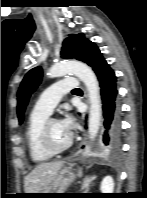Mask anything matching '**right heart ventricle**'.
<instances>
[{"mask_svg":"<svg viewBox=\"0 0 147 198\" xmlns=\"http://www.w3.org/2000/svg\"><path fill=\"white\" fill-rule=\"evenodd\" d=\"M49 114L33 110L29 116L25 140L31 160L35 163H43L51 159L53 155L45 151L41 143V131Z\"/></svg>","mask_w":147,"mask_h":198,"instance_id":"right-heart-ventricle-1","label":"right heart ventricle"}]
</instances>
